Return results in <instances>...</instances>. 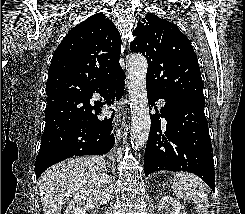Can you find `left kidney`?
Instances as JSON below:
<instances>
[{
  "instance_id": "obj_1",
  "label": "left kidney",
  "mask_w": 245,
  "mask_h": 214,
  "mask_svg": "<svg viewBox=\"0 0 245 214\" xmlns=\"http://www.w3.org/2000/svg\"><path fill=\"white\" fill-rule=\"evenodd\" d=\"M183 205L176 199L169 195H165L161 198L159 204V214H182L181 210Z\"/></svg>"
}]
</instances>
